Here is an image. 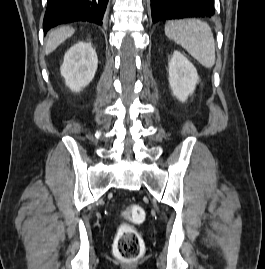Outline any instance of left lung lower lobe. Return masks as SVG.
<instances>
[{
  "label": "left lung lower lobe",
  "mask_w": 265,
  "mask_h": 269,
  "mask_svg": "<svg viewBox=\"0 0 265 269\" xmlns=\"http://www.w3.org/2000/svg\"><path fill=\"white\" fill-rule=\"evenodd\" d=\"M153 23L185 17L210 18L215 14L214 0H151Z\"/></svg>",
  "instance_id": "1"
}]
</instances>
